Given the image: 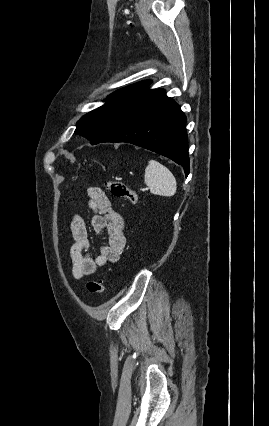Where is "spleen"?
<instances>
[{
	"label": "spleen",
	"instance_id": "1",
	"mask_svg": "<svg viewBox=\"0 0 269 426\" xmlns=\"http://www.w3.org/2000/svg\"><path fill=\"white\" fill-rule=\"evenodd\" d=\"M144 181L152 194L171 197L176 193V179L170 170L155 160H150L145 169Z\"/></svg>",
	"mask_w": 269,
	"mask_h": 426
}]
</instances>
